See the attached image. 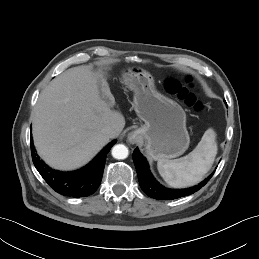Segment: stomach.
I'll use <instances>...</instances> for the list:
<instances>
[{
	"instance_id": "stomach-1",
	"label": "stomach",
	"mask_w": 259,
	"mask_h": 259,
	"mask_svg": "<svg viewBox=\"0 0 259 259\" xmlns=\"http://www.w3.org/2000/svg\"><path fill=\"white\" fill-rule=\"evenodd\" d=\"M103 73L109 76V68ZM123 80L134 91L135 111L145 123L135 133L144 140L146 153L154 160L182 155L190 143L183 108L157 92L151 74L144 69H125Z\"/></svg>"
}]
</instances>
